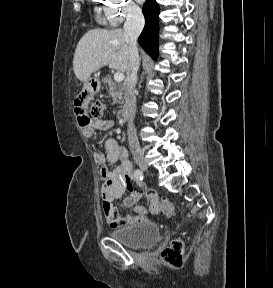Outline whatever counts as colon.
<instances>
[{
    "instance_id": "obj_1",
    "label": "colon",
    "mask_w": 273,
    "mask_h": 288,
    "mask_svg": "<svg viewBox=\"0 0 273 288\" xmlns=\"http://www.w3.org/2000/svg\"><path fill=\"white\" fill-rule=\"evenodd\" d=\"M102 104L99 101L91 105V114L93 116L102 113ZM74 111L80 126L84 127L90 123L89 115L82 103L76 101L74 103ZM159 209L166 215L170 216L173 213V206L167 199H162L159 202ZM184 245L179 239H174L167 247L161 251V258L173 267H181L183 264Z\"/></svg>"
}]
</instances>
